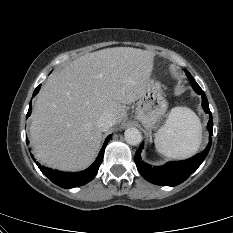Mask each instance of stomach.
I'll list each match as a JSON object with an SVG mask.
<instances>
[{"label": "stomach", "mask_w": 233, "mask_h": 233, "mask_svg": "<svg viewBox=\"0 0 233 233\" xmlns=\"http://www.w3.org/2000/svg\"><path fill=\"white\" fill-rule=\"evenodd\" d=\"M167 105L161 84L158 81L149 80L143 96L137 102L135 119L151 131L167 111Z\"/></svg>", "instance_id": "obj_1"}]
</instances>
